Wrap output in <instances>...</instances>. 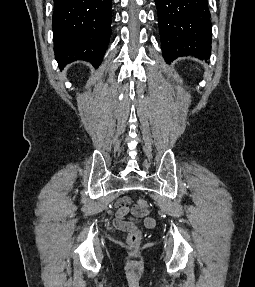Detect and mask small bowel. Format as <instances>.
<instances>
[{
	"instance_id": "c3829d8e",
	"label": "small bowel",
	"mask_w": 255,
	"mask_h": 287,
	"mask_svg": "<svg viewBox=\"0 0 255 287\" xmlns=\"http://www.w3.org/2000/svg\"><path fill=\"white\" fill-rule=\"evenodd\" d=\"M116 213L113 219V227L121 232H132L138 230V223L142 222L145 228L152 229L155 219L147 210L131 207L128 197H121L116 201Z\"/></svg>"
}]
</instances>
